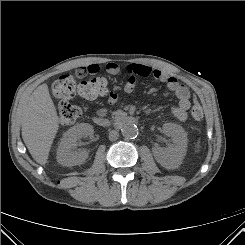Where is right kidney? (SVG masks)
Masks as SVG:
<instances>
[{
    "label": "right kidney",
    "mask_w": 245,
    "mask_h": 245,
    "mask_svg": "<svg viewBox=\"0 0 245 245\" xmlns=\"http://www.w3.org/2000/svg\"><path fill=\"white\" fill-rule=\"evenodd\" d=\"M94 130L88 123H80L71 127L61 138L57 150V161L63 166L83 164L88 157L86 151H76L78 139L91 136Z\"/></svg>",
    "instance_id": "ca27d5eb"
}]
</instances>
